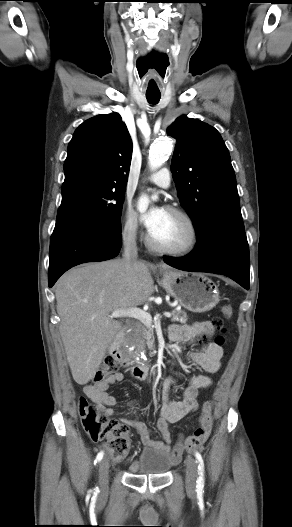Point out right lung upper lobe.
I'll use <instances>...</instances> for the list:
<instances>
[{
  "label": "right lung upper lobe",
  "instance_id": "obj_1",
  "mask_svg": "<svg viewBox=\"0 0 292 527\" xmlns=\"http://www.w3.org/2000/svg\"><path fill=\"white\" fill-rule=\"evenodd\" d=\"M132 149L130 134L118 113L88 119L68 145L64 183L83 180L125 188Z\"/></svg>",
  "mask_w": 292,
  "mask_h": 527
}]
</instances>
